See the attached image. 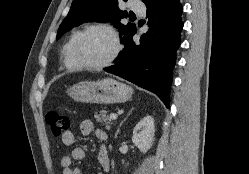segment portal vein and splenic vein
Listing matches in <instances>:
<instances>
[{"mask_svg": "<svg viewBox=\"0 0 249 174\" xmlns=\"http://www.w3.org/2000/svg\"><path fill=\"white\" fill-rule=\"evenodd\" d=\"M117 114H115V113H112V114H110V119H112V120H116L117 119Z\"/></svg>", "mask_w": 249, "mask_h": 174, "instance_id": "portal-vein-and-splenic-vein-1", "label": "portal vein and splenic vein"}]
</instances>
